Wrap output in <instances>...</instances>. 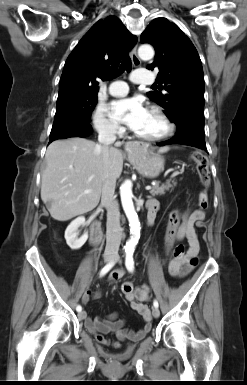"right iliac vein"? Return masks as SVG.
Returning <instances> with one entry per match:
<instances>
[{
  "instance_id": "obj_1",
  "label": "right iliac vein",
  "mask_w": 247,
  "mask_h": 385,
  "mask_svg": "<svg viewBox=\"0 0 247 385\" xmlns=\"http://www.w3.org/2000/svg\"><path fill=\"white\" fill-rule=\"evenodd\" d=\"M112 260V258H106V262H110ZM78 317L79 319L83 320L86 318V312L85 311H81L79 314H78Z\"/></svg>"
}]
</instances>
